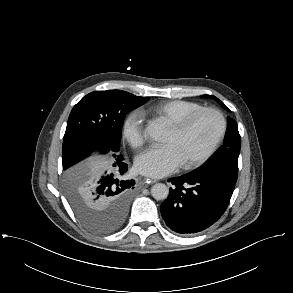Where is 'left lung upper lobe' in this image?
I'll use <instances>...</instances> for the list:
<instances>
[{"label": "left lung upper lobe", "mask_w": 293, "mask_h": 293, "mask_svg": "<svg viewBox=\"0 0 293 293\" xmlns=\"http://www.w3.org/2000/svg\"><path fill=\"white\" fill-rule=\"evenodd\" d=\"M215 99L224 109L229 110L215 96L203 95ZM240 154V135L237 123L228 117V129L224 145L212 157L194 171L200 174H210L222 177L236 183L238 176V157Z\"/></svg>", "instance_id": "left-lung-upper-lobe-1"}]
</instances>
